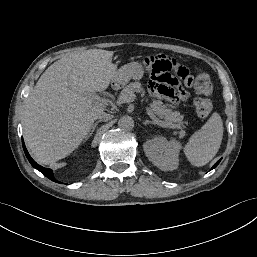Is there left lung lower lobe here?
Listing matches in <instances>:
<instances>
[{"instance_id": "left-lung-lower-lobe-1", "label": "left lung lower lobe", "mask_w": 257, "mask_h": 257, "mask_svg": "<svg viewBox=\"0 0 257 257\" xmlns=\"http://www.w3.org/2000/svg\"><path fill=\"white\" fill-rule=\"evenodd\" d=\"M219 162H220V160L212 167V169L215 168Z\"/></svg>"}]
</instances>
